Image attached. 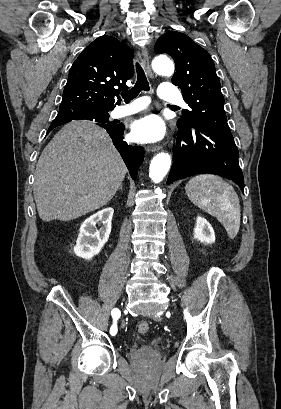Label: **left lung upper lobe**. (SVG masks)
<instances>
[{
  "mask_svg": "<svg viewBox=\"0 0 281 409\" xmlns=\"http://www.w3.org/2000/svg\"><path fill=\"white\" fill-rule=\"evenodd\" d=\"M157 54L167 53L175 61L176 73L172 83L182 89L190 109L182 111L179 128L202 123L230 132L224 111V98L215 65L209 53L187 35L170 31L155 44Z\"/></svg>",
  "mask_w": 281,
  "mask_h": 409,
  "instance_id": "left-lung-upper-lobe-1",
  "label": "left lung upper lobe"
}]
</instances>
